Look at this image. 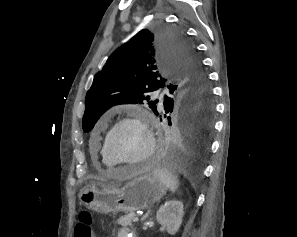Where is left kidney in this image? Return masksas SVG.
<instances>
[{
    "label": "left kidney",
    "mask_w": 297,
    "mask_h": 237,
    "mask_svg": "<svg viewBox=\"0 0 297 237\" xmlns=\"http://www.w3.org/2000/svg\"><path fill=\"white\" fill-rule=\"evenodd\" d=\"M156 219L166 228L168 234L175 235L182 224L183 203L178 200L166 202L157 211Z\"/></svg>",
    "instance_id": "left-kidney-1"
}]
</instances>
